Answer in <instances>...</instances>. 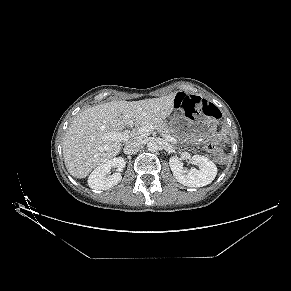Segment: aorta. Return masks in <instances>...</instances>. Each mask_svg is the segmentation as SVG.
<instances>
[{
	"label": "aorta",
	"mask_w": 291,
	"mask_h": 291,
	"mask_svg": "<svg viewBox=\"0 0 291 291\" xmlns=\"http://www.w3.org/2000/svg\"><path fill=\"white\" fill-rule=\"evenodd\" d=\"M159 146L155 141H150L147 144V149L150 152H156L158 150Z\"/></svg>",
	"instance_id": "obj_1"
}]
</instances>
